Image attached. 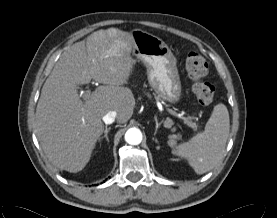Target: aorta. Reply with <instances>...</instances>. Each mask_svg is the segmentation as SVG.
Returning a JSON list of instances; mask_svg holds the SVG:
<instances>
[{"instance_id":"obj_1","label":"aorta","mask_w":277,"mask_h":218,"mask_svg":"<svg viewBox=\"0 0 277 218\" xmlns=\"http://www.w3.org/2000/svg\"><path fill=\"white\" fill-rule=\"evenodd\" d=\"M125 141L130 145H138L142 141V133L138 128H130L125 133Z\"/></svg>"}]
</instances>
